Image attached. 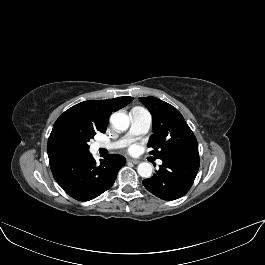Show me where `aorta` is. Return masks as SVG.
<instances>
[{"label": "aorta", "mask_w": 265, "mask_h": 265, "mask_svg": "<svg viewBox=\"0 0 265 265\" xmlns=\"http://www.w3.org/2000/svg\"><path fill=\"white\" fill-rule=\"evenodd\" d=\"M110 123L116 130L125 131L129 128L130 120L126 113L117 111L110 117ZM153 167L148 162H142L137 167L138 174L143 178H149L152 175Z\"/></svg>", "instance_id": "aorta-1"}]
</instances>
